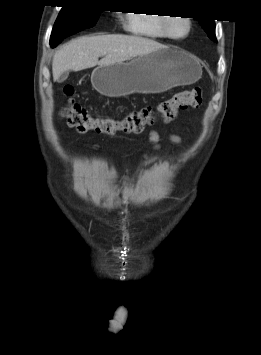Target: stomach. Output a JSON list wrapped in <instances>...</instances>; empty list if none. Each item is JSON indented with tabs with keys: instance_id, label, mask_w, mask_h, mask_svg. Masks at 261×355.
Returning a JSON list of instances; mask_svg holds the SVG:
<instances>
[{
	"instance_id": "1",
	"label": "stomach",
	"mask_w": 261,
	"mask_h": 355,
	"mask_svg": "<svg viewBox=\"0 0 261 355\" xmlns=\"http://www.w3.org/2000/svg\"><path fill=\"white\" fill-rule=\"evenodd\" d=\"M202 67L193 55L162 47L130 61L99 65L91 75L93 87L102 95L120 97L133 93L156 94L199 80Z\"/></svg>"
}]
</instances>
